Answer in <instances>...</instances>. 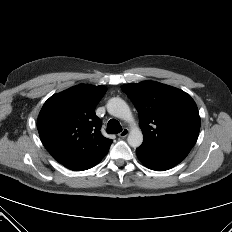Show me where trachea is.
<instances>
[{
    "label": "trachea",
    "mask_w": 232,
    "mask_h": 232,
    "mask_svg": "<svg viewBox=\"0 0 232 232\" xmlns=\"http://www.w3.org/2000/svg\"><path fill=\"white\" fill-rule=\"evenodd\" d=\"M121 131H122V127L116 119L109 120L107 124V133L117 134L120 133Z\"/></svg>",
    "instance_id": "3493384b"
}]
</instances>
